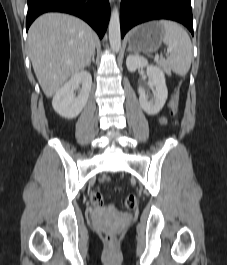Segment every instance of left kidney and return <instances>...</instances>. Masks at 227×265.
I'll use <instances>...</instances> for the list:
<instances>
[{
	"label": "left kidney",
	"mask_w": 227,
	"mask_h": 265,
	"mask_svg": "<svg viewBox=\"0 0 227 265\" xmlns=\"http://www.w3.org/2000/svg\"><path fill=\"white\" fill-rule=\"evenodd\" d=\"M126 66L130 72L146 67L147 76L155 87V94L149 99L144 89L138 87L139 103L147 114L156 115L163 108L168 97L164 72L156 66L149 65L147 59L139 55L127 56Z\"/></svg>",
	"instance_id": "1"
}]
</instances>
